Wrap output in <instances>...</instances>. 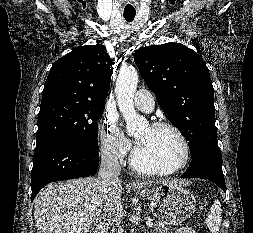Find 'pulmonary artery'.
<instances>
[{"label": "pulmonary artery", "mask_w": 253, "mask_h": 233, "mask_svg": "<svg viewBox=\"0 0 253 233\" xmlns=\"http://www.w3.org/2000/svg\"><path fill=\"white\" fill-rule=\"evenodd\" d=\"M134 104L140 111L150 113L154 110L155 100L151 92L141 89L134 96Z\"/></svg>", "instance_id": "1"}]
</instances>
